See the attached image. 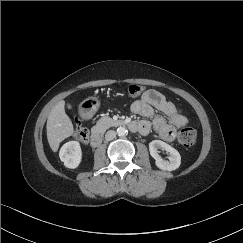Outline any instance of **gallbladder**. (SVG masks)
<instances>
[{
    "instance_id": "gallbladder-1",
    "label": "gallbladder",
    "mask_w": 243,
    "mask_h": 243,
    "mask_svg": "<svg viewBox=\"0 0 243 243\" xmlns=\"http://www.w3.org/2000/svg\"><path fill=\"white\" fill-rule=\"evenodd\" d=\"M67 108H68V109H72V105H71V104H68V105H67Z\"/></svg>"
}]
</instances>
